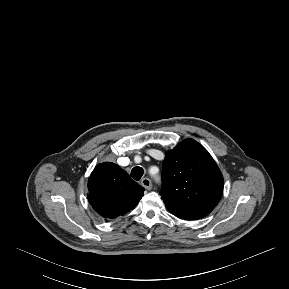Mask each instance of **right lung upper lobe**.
<instances>
[{
    "label": "right lung upper lobe",
    "instance_id": "right-lung-upper-lobe-1",
    "mask_svg": "<svg viewBox=\"0 0 289 289\" xmlns=\"http://www.w3.org/2000/svg\"><path fill=\"white\" fill-rule=\"evenodd\" d=\"M88 201L104 218H116L134 209L144 188L112 162L98 164L88 180Z\"/></svg>",
    "mask_w": 289,
    "mask_h": 289
}]
</instances>
